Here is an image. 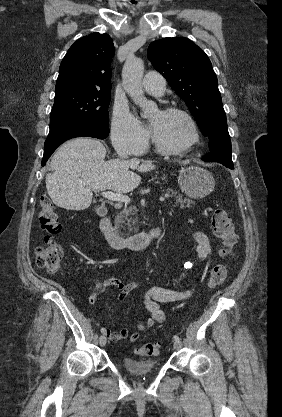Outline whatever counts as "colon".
I'll use <instances>...</instances> for the list:
<instances>
[{
    "label": "colon",
    "mask_w": 282,
    "mask_h": 417,
    "mask_svg": "<svg viewBox=\"0 0 282 417\" xmlns=\"http://www.w3.org/2000/svg\"><path fill=\"white\" fill-rule=\"evenodd\" d=\"M39 220L44 231L43 244L37 249L35 262L38 267L48 273L57 274L63 267V254L61 247L54 240L62 230V224L48 194H43L39 201ZM210 221L216 237L222 241L226 252H230L238 242V236L234 230L232 220L224 209L212 211ZM228 275V267L224 263L213 266L207 286L214 289L220 286ZM158 349L157 344L139 347V356H154Z\"/></svg>",
    "instance_id": "obj_1"
}]
</instances>
